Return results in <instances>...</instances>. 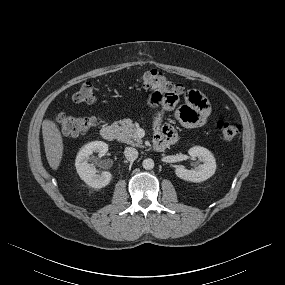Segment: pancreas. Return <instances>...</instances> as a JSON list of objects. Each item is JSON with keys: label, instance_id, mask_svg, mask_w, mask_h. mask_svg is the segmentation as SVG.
<instances>
[{"label": "pancreas", "instance_id": "cf45deb5", "mask_svg": "<svg viewBox=\"0 0 285 285\" xmlns=\"http://www.w3.org/2000/svg\"><path fill=\"white\" fill-rule=\"evenodd\" d=\"M118 124H120V126ZM114 126L118 128V139L120 141L136 147L142 146V140L138 139L135 135V127L131 120H120L115 122Z\"/></svg>", "mask_w": 285, "mask_h": 285}]
</instances>
